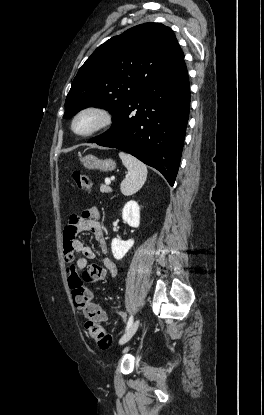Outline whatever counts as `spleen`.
Wrapping results in <instances>:
<instances>
[{"instance_id": "spleen-1", "label": "spleen", "mask_w": 264, "mask_h": 415, "mask_svg": "<svg viewBox=\"0 0 264 415\" xmlns=\"http://www.w3.org/2000/svg\"><path fill=\"white\" fill-rule=\"evenodd\" d=\"M119 157L128 170V174L121 182L120 189L123 195L130 196L144 185L147 178V167L137 158L127 153L120 152Z\"/></svg>"}]
</instances>
